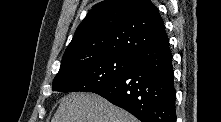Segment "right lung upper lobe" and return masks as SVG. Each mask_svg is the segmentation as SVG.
I'll list each match as a JSON object with an SVG mask.
<instances>
[{"label":"right lung upper lobe","instance_id":"obj_1","mask_svg":"<svg viewBox=\"0 0 221 122\" xmlns=\"http://www.w3.org/2000/svg\"><path fill=\"white\" fill-rule=\"evenodd\" d=\"M165 33L158 9L150 0H105L76 29L58 73L93 58L135 57Z\"/></svg>","mask_w":221,"mask_h":122}]
</instances>
